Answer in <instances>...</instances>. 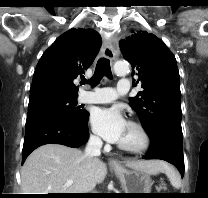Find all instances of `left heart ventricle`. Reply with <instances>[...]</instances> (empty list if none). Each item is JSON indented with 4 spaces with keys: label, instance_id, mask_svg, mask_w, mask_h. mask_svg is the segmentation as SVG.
Here are the masks:
<instances>
[{
    "label": "left heart ventricle",
    "instance_id": "left-heart-ventricle-1",
    "mask_svg": "<svg viewBox=\"0 0 208 198\" xmlns=\"http://www.w3.org/2000/svg\"><path fill=\"white\" fill-rule=\"evenodd\" d=\"M141 142V137L137 129L127 124L119 143L129 146H136Z\"/></svg>",
    "mask_w": 208,
    "mask_h": 198
}]
</instances>
